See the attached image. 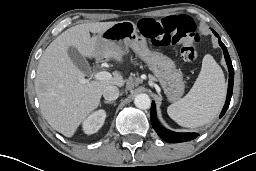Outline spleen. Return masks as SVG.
<instances>
[{
	"instance_id": "3e777b00",
	"label": "spleen",
	"mask_w": 256,
	"mask_h": 171,
	"mask_svg": "<svg viewBox=\"0 0 256 171\" xmlns=\"http://www.w3.org/2000/svg\"><path fill=\"white\" fill-rule=\"evenodd\" d=\"M226 96L223 71L207 54L202 68L189 93L171 104L167 113L180 126L195 128L211 122L221 111Z\"/></svg>"
}]
</instances>
